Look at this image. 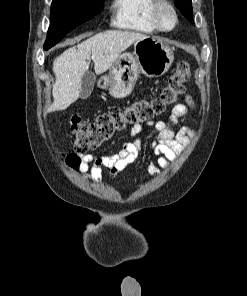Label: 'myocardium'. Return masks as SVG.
Instances as JSON below:
<instances>
[{
  "label": "myocardium",
  "mask_w": 247,
  "mask_h": 296,
  "mask_svg": "<svg viewBox=\"0 0 247 296\" xmlns=\"http://www.w3.org/2000/svg\"><path fill=\"white\" fill-rule=\"evenodd\" d=\"M167 12L171 16L172 23L169 26L164 24L163 15ZM153 20L157 28L164 32H170L178 25V15L173 4L167 0H156L152 10Z\"/></svg>",
  "instance_id": "myocardium-1"
}]
</instances>
